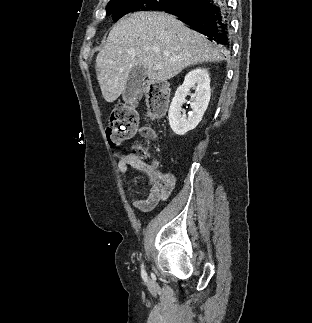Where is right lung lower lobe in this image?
Masks as SVG:
<instances>
[{
  "mask_svg": "<svg viewBox=\"0 0 312 323\" xmlns=\"http://www.w3.org/2000/svg\"><path fill=\"white\" fill-rule=\"evenodd\" d=\"M226 0H187L164 11L178 17L191 29L205 35L227 51L230 50V21Z\"/></svg>",
  "mask_w": 312,
  "mask_h": 323,
  "instance_id": "obj_1",
  "label": "right lung lower lobe"
}]
</instances>
